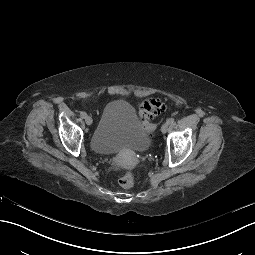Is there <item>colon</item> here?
Segmentation results:
<instances>
[{
	"instance_id": "colon-1",
	"label": "colon",
	"mask_w": 255,
	"mask_h": 255,
	"mask_svg": "<svg viewBox=\"0 0 255 255\" xmlns=\"http://www.w3.org/2000/svg\"><path fill=\"white\" fill-rule=\"evenodd\" d=\"M165 109V104L160 99H147L143 101L138 108L141 119L148 124L151 117L159 114ZM115 170L120 173L119 184L123 188H131L135 184V174L133 171H124L119 164L114 166Z\"/></svg>"
}]
</instances>
